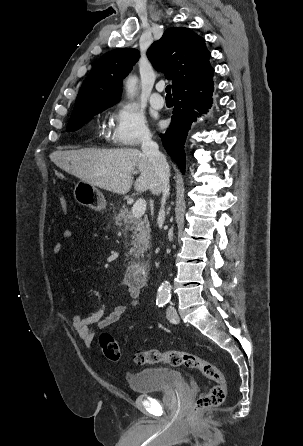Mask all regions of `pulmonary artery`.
<instances>
[{
  "mask_svg": "<svg viewBox=\"0 0 303 446\" xmlns=\"http://www.w3.org/2000/svg\"><path fill=\"white\" fill-rule=\"evenodd\" d=\"M163 89H164L163 85H158L156 87V91L152 93L150 96V104L154 108L160 109L165 104L164 98L160 95V92H162Z\"/></svg>",
  "mask_w": 303,
  "mask_h": 446,
  "instance_id": "1",
  "label": "pulmonary artery"
}]
</instances>
